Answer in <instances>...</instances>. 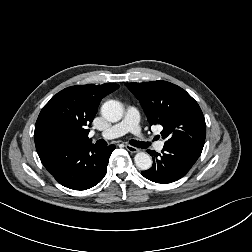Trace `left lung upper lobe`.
Masks as SVG:
<instances>
[{"mask_svg":"<svg viewBox=\"0 0 252 252\" xmlns=\"http://www.w3.org/2000/svg\"><path fill=\"white\" fill-rule=\"evenodd\" d=\"M150 125L160 124L165 146L203 149L206 124L198 103L182 88L167 81L128 83Z\"/></svg>","mask_w":252,"mask_h":252,"instance_id":"5c2ea615","label":"left lung upper lobe"}]
</instances>
